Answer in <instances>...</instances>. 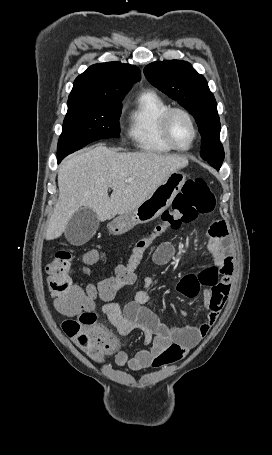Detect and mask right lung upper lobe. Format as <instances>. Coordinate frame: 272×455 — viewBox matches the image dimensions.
Segmentation results:
<instances>
[{
  "label": "right lung upper lobe",
  "instance_id": "obj_1",
  "mask_svg": "<svg viewBox=\"0 0 272 455\" xmlns=\"http://www.w3.org/2000/svg\"><path fill=\"white\" fill-rule=\"evenodd\" d=\"M140 79L136 66L121 62L98 63L79 75L68 105H113L121 103L133 83Z\"/></svg>",
  "mask_w": 272,
  "mask_h": 455
}]
</instances>
